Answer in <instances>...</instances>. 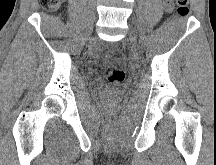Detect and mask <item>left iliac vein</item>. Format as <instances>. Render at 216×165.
Returning <instances> with one entry per match:
<instances>
[{"mask_svg":"<svg viewBox=\"0 0 216 165\" xmlns=\"http://www.w3.org/2000/svg\"><path fill=\"white\" fill-rule=\"evenodd\" d=\"M129 36L130 40L135 43L137 40V35L135 29H133L132 27L130 28Z\"/></svg>","mask_w":216,"mask_h":165,"instance_id":"left-iliac-vein-1","label":"left iliac vein"}]
</instances>
